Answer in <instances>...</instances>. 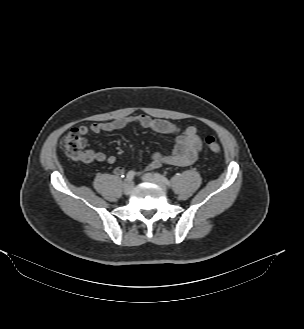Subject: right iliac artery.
Segmentation results:
<instances>
[{
    "mask_svg": "<svg viewBox=\"0 0 304 329\" xmlns=\"http://www.w3.org/2000/svg\"><path fill=\"white\" fill-rule=\"evenodd\" d=\"M134 175H135V172L134 171H129L128 173H127V175H126V181L127 182H130V181H132L133 180V178H134Z\"/></svg>",
    "mask_w": 304,
    "mask_h": 329,
    "instance_id": "right-iliac-artery-1",
    "label": "right iliac artery"
}]
</instances>
